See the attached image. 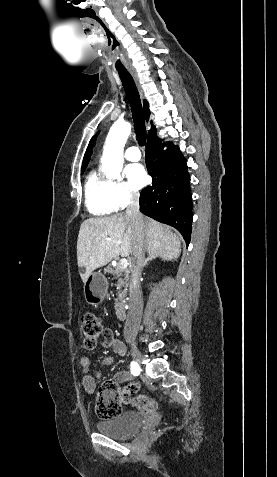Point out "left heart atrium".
Masks as SVG:
<instances>
[{
  "mask_svg": "<svg viewBox=\"0 0 277 477\" xmlns=\"http://www.w3.org/2000/svg\"><path fill=\"white\" fill-rule=\"evenodd\" d=\"M126 175L134 189L143 187L147 182V174L140 164H131L126 168Z\"/></svg>",
  "mask_w": 277,
  "mask_h": 477,
  "instance_id": "obj_1",
  "label": "left heart atrium"
}]
</instances>
